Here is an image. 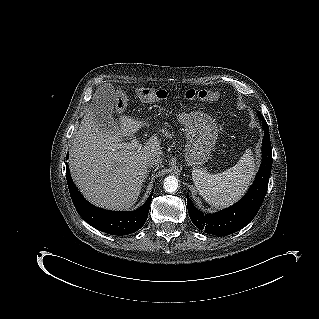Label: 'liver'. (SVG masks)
Returning <instances> with one entry per match:
<instances>
[{
  "mask_svg": "<svg viewBox=\"0 0 319 319\" xmlns=\"http://www.w3.org/2000/svg\"><path fill=\"white\" fill-rule=\"evenodd\" d=\"M123 115L113 130L101 128L91 105L81 120L69 152V166L80 192L92 204L110 210H127L137 201L148 174L146 160L162 155L161 141L151 137L138 149H118L117 144L146 126Z\"/></svg>",
  "mask_w": 319,
  "mask_h": 319,
  "instance_id": "6515ba94",
  "label": "liver"
}]
</instances>
